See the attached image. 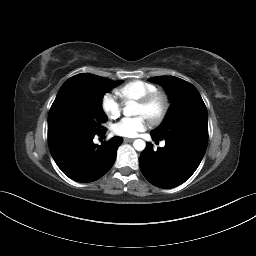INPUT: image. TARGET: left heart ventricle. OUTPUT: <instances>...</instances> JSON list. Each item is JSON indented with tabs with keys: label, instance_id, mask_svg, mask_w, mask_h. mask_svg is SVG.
Returning a JSON list of instances; mask_svg holds the SVG:
<instances>
[{
	"label": "left heart ventricle",
	"instance_id": "1",
	"mask_svg": "<svg viewBox=\"0 0 256 256\" xmlns=\"http://www.w3.org/2000/svg\"><path fill=\"white\" fill-rule=\"evenodd\" d=\"M160 107L161 105L159 102L155 103L151 108H145L138 104L136 108V115L148 117L149 115L156 114Z\"/></svg>",
	"mask_w": 256,
	"mask_h": 256
}]
</instances>
